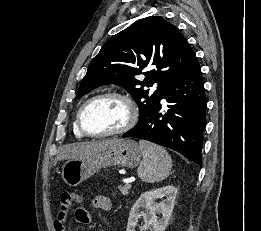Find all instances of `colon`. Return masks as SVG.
<instances>
[{
  "instance_id": "1",
  "label": "colon",
  "mask_w": 261,
  "mask_h": 231,
  "mask_svg": "<svg viewBox=\"0 0 261 231\" xmlns=\"http://www.w3.org/2000/svg\"><path fill=\"white\" fill-rule=\"evenodd\" d=\"M78 196L75 193L72 192H64L61 194L60 197V206H59V212L63 213L64 215H67L73 204L78 202Z\"/></svg>"
}]
</instances>
